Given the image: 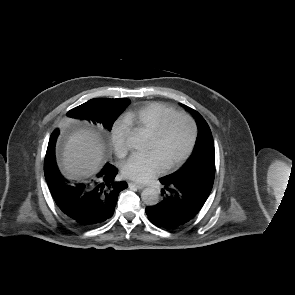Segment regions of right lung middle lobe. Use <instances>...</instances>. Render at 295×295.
<instances>
[{
    "mask_svg": "<svg viewBox=\"0 0 295 295\" xmlns=\"http://www.w3.org/2000/svg\"><path fill=\"white\" fill-rule=\"evenodd\" d=\"M129 99H107L96 98L73 108L67 115L77 119H85L94 124H101L104 128L111 130L114 121L130 104ZM59 134V132H57ZM45 178L50 179L55 173H59L55 162V156L46 158L44 162Z\"/></svg>",
    "mask_w": 295,
    "mask_h": 295,
    "instance_id": "obj_1",
    "label": "right lung middle lobe"
}]
</instances>
